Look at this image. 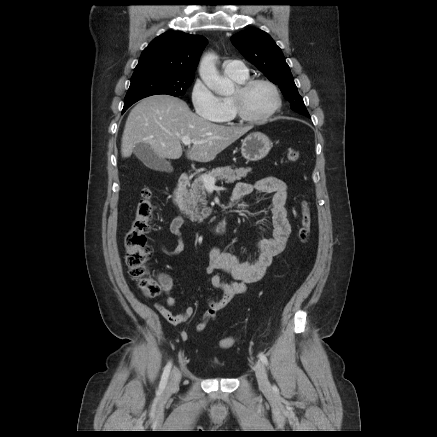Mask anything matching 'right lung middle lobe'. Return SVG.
Returning <instances> with one entry per match:
<instances>
[{
	"mask_svg": "<svg viewBox=\"0 0 437 437\" xmlns=\"http://www.w3.org/2000/svg\"><path fill=\"white\" fill-rule=\"evenodd\" d=\"M193 80L194 76L192 75L177 76L163 73L156 69L134 72L131 77L130 87L125 97L122 113L138 100L151 95H184Z\"/></svg>",
	"mask_w": 437,
	"mask_h": 437,
	"instance_id": "dd1d6c3e",
	"label": "right lung middle lobe"
}]
</instances>
